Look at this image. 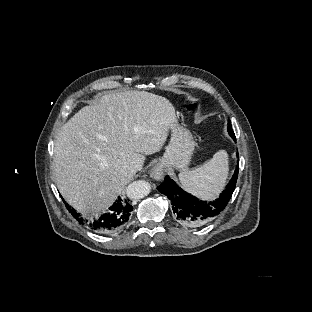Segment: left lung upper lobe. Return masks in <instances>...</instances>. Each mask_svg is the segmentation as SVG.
Segmentation results:
<instances>
[{"mask_svg": "<svg viewBox=\"0 0 312 312\" xmlns=\"http://www.w3.org/2000/svg\"><path fill=\"white\" fill-rule=\"evenodd\" d=\"M228 131H229V134H230L233 138H235V135H234V132H233V130H232V127H231V123H230V122H228Z\"/></svg>", "mask_w": 312, "mask_h": 312, "instance_id": "left-lung-upper-lobe-1", "label": "left lung upper lobe"}]
</instances>
